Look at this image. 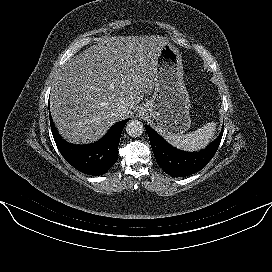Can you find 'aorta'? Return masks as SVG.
<instances>
[{"label":"aorta","instance_id":"obj_1","mask_svg":"<svg viewBox=\"0 0 272 272\" xmlns=\"http://www.w3.org/2000/svg\"><path fill=\"white\" fill-rule=\"evenodd\" d=\"M126 133L131 137H139L144 131L143 123L139 120H131L127 123Z\"/></svg>","mask_w":272,"mask_h":272}]
</instances>
